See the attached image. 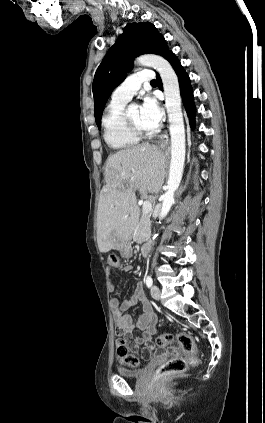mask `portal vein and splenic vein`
<instances>
[{"label": "portal vein and splenic vein", "mask_w": 265, "mask_h": 423, "mask_svg": "<svg viewBox=\"0 0 265 423\" xmlns=\"http://www.w3.org/2000/svg\"><path fill=\"white\" fill-rule=\"evenodd\" d=\"M142 210L144 213H149L152 211V203L150 201H144L142 204Z\"/></svg>", "instance_id": "18ae733b"}]
</instances>
